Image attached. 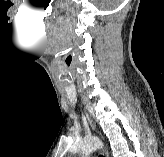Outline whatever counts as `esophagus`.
I'll return each mask as SVG.
<instances>
[{
	"instance_id": "esophagus-1",
	"label": "esophagus",
	"mask_w": 164,
	"mask_h": 157,
	"mask_svg": "<svg viewBox=\"0 0 164 157\" xmlns=\"http://www.w3.org/2000/svg\"><path fill=\"white\" fill-rule=\"evenodd\" d=\"M86 116H87V119H88V122H89L91 128L93 130H95V124L93 123L92 119L88 115H86ZM103 155H105V151L104 150H103Z\"/></svg>"
}]
</instances>
